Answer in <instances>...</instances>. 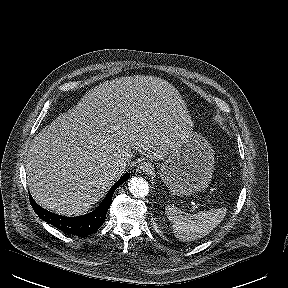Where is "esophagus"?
I'll return each instance as SVG.
<instances>
[{
  "label": "esophagus",
  "mask_w": 288,
  "mask_h": 288,
  "mask_svg": "<svg viewBox=\"0 0 288 288\" xmlns=\"http://www.w3.org/2000/svg\"><path fill=\"white\" fill-rule=\"evenodd\" d=\"M152 171H153V167L149 162L143 161L137 166L138 173L150 174Z\"/></svg>",
  "instance_id": "1"
}]
</instances>
